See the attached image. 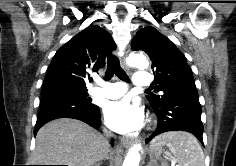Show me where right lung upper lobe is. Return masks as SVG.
<instances>
[{"label": "right lung upper lobe", "instance_id": "obj_1", "mask_svg": "<svg viewBox=\"0 0 236 166\" xmlns=\"http://www.w3.org/2000/svg\"><path fill=\"white\" fill-rule=\"evenodd\" d=\"M116 48L106 30L90 25L64 44L54 55L43 86L86 88L88 71H98Z\"/></svg>", "mask_w": 236, "mask_h": 166}]
</instances>
